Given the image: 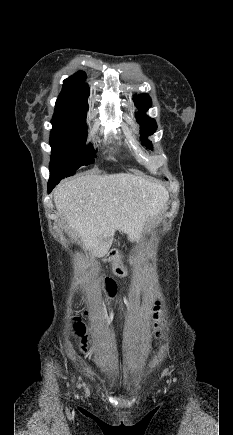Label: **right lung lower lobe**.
Segmentation results:
<instances>
[{"label":"right lung lower lobe","instance_id":"98d812e1","mask_svg":"<svg viewBox=\"0 0 233 435\" xmlns=\"http://www.w3.org/2000/svg\"><path fill=\"white\" fill-rule=\"evenodd\" d=\"M60 182V179H50L48 182V193Z\"/></svg>","mask_w":233,"mask_h":435}]
</instances>
